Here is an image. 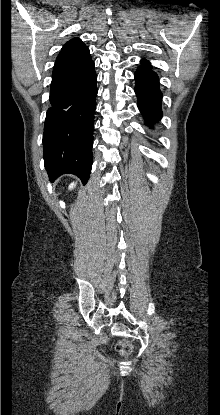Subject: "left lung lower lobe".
Here are the masks:
<instances>
[{
    "label": "left lung lower lobe",
    "instance_id": "0a47b994",
    "mask_svg": "<svg viewBox=\"0 0 220 415\" xmlns=\"http://www.w3.org/2000/svg\"><path fill=\"white\" fill-rule=\"evenodd\" d=\"M134 76L139 110L146 120V124L151 125L162 117V93L159 89V78L152 71L149 61L145 59L141 60V66L138 67Z\"/></svg>",
    "mask_w": 220,
    "mask_h": 415
}]
</instances>
